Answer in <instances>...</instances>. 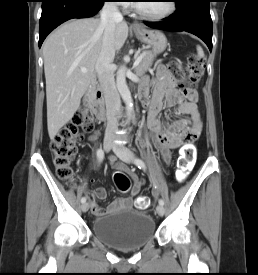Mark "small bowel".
<instances>
[{
	"mask_svg": "<svg viewBox=\"0 0 258 275\" xmlns=\"http://www.w3.org/2000/svg\"><path fill=\"white\" fill-rule=\"evenodd\" d=\"M155 76L152 97H148L147 82L141 85L140 94L144 105L148 108V138L159 151L164 162L169 164L172 159V150L183 145H192L201 134L203 122L197 110V95L194 91H179L175 78L164 66L160 65L156 68ZM164 108L173 109L176 119L169 122L161 121L158 115ZM97 138V131H93L89 136L92 142ZM111 162L119 171L127 172L132 179L130 196L114 200L104 210L98 206L97 200L106 198V189L98 187L90 191L88 194L91 210L96 217L119 209H129L144 184V180L138 178L134 172L123 165L116 164L114 157H111Z\"/></svg>",
	"mask_w": 258,
	"mask_h": 275,
	"instance_id": "c3829d8e",
	"label": "small bowel"
}]
</instances>
